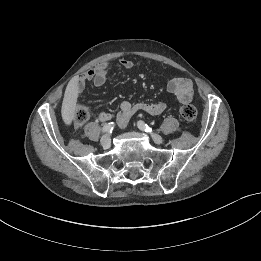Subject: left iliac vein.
Returning <instances> with one entry per match:
<instances>
[{"mask_svg":"<svg viewBox=\"0 0 261 261\" xmlns=\"http://www.w3.org/2000/svg\"><path fill=\"white\" fill-rule=\"evenodd\" d=\"M151 137H152L153 141L157 144H161L163 142L162 137L156 133H151Z\"/></svg>","mask_w":261,"mask_h":261,"instance_id":"4c4485c4","label":"left iliac vein"}]
</instances>
